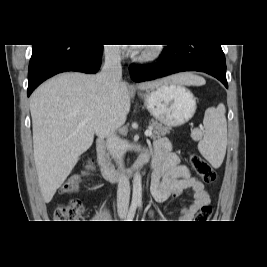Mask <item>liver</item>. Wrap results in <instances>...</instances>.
<instances>
[{"label": "liver", "mask_w": 267, "mask_h": 267, "mask_svg": "<svg viewBox=\"0 0 267 267\" xmlns=\"http://www.w3.org/2000/svg\"><path fill=\"white\" fill-rule=\"evenodd\" d=\"M163 83L200 86L205 79L180 73L158 82L140 83L147 90ZM130 110L125 83L109 87L98 75L63 73L38 87L30 97L34 160L40 191L49 203L93 143L122 126ZM84 125L79 123L85 118Z\"/></svg>", "instance_id": "6515ba94"}]
</instances>
